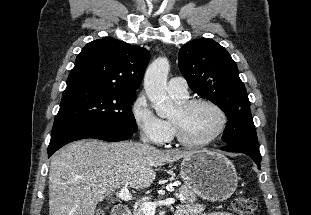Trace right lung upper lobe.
<instances>
[{
	"instance_id": "cb5924a9",
	"label": "right lung upper lobe",
	"mask_w": 311,
	"mask_h": 215,
	"mask_svg": "<svg viewBox=\"0 0 311 215\" xmlns=\"http://www.w3.org/2000/svg\"><path fill=\"white\" fill-rule=\"evenodd\" d=\"M149 60L145 48L104 37L88 43L78 54L67 87L88 84L135 92Z\"/></svg>"
}]
</instances>
